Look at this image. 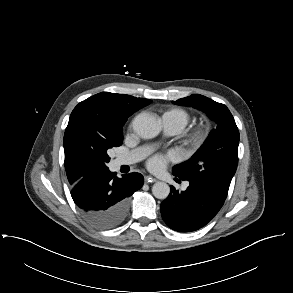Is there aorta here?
Here are the masks:
<instances>
[{
	"label": "aorta",
	"instance_id": "aorta-1",
	"mask_svg": "<svg viewBox=\"0 0 293 293\" xmlns=\"http://www.w3.org/2000/svg\"><path fill=\"white\" fill-rule=\"evenodd\" d=\"M132 126L135 133L144 139L156 137L161 130L158 121L154 117L144 113L134 118ZM152 193L157 199H166L170 193V187L165 182H156L152 187Z\"/></svg>",
	"mask_w": 293,
	"mask_h": 293
}]
</instances>
